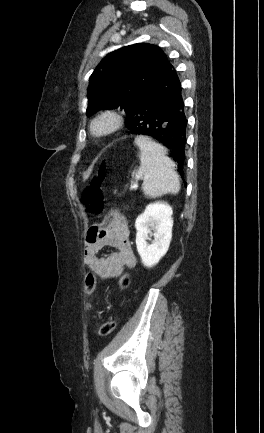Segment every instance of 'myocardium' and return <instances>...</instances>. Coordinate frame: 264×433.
<instances>
[{
	"mask_svg": "<svg viewBox=\"0 0 264 433\" xmlns=\"http://www.w3.org/2000/svg\"><path fill=\"white\" fill-rule=\"evenodd\" d=\"M123 125L122 115L115 110H104L89 123L88 132L95 139L106 138L116 133Z\"/></svg>",
	"mask_w": 264,
	"mask_h": 433,
	"instance_id": "f54148a6",
	"label": "myocardium"
}]
</instances>
